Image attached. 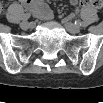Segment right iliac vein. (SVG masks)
<instances>
[{"mask_svg":"<svg viewBox=\"0 0 103 103\" xmlns=\"http://www.w3.org/2000/svg\"><path fill=\"white\" fill-rule=\"evenodd\" d=\"M20 27L24 30L28 29L30 27V23L28 21H23L20 23Z\"/></svg>","mask_w":103,"mask_h":103,"instance_id":"63e3f726","label":"right iliac vein"}]
</instances>
